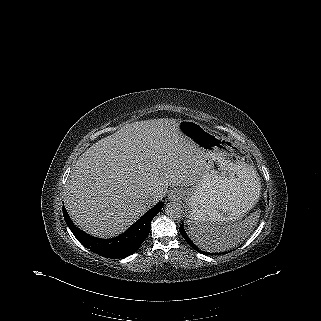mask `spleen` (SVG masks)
<instances>
[{
  "label": "spleen",
  "instance_id": "obj_1",
  "mask_svg": "<svg viewBox=\"0 0 321 321\" xmlns=\"http://www.w3.org/2000/svg\"><path fill=\"white\" fill-rule=\"evenodd\" d=\"M260 212L251 213L244 220L236 223H193L188 227L189 236L196 244L209 252H223L236 247L254 230Z\"/></svg>",
  "mask_w": 321,
  "mask_h": 321
}]
</instances>
